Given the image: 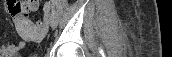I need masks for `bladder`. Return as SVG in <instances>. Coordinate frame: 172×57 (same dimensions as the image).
Segmentation results:
<instances>
[{
	"label": "bladder",
	"mask_w": 172,
	"mask_h": 57,
	"mask_svg": "<svg viewBox=\"0 0 172 57\" xmlns=\"http://www.w3.org/2000/svg\"><path fill=\"white\" fill-rule=\"evenodd\" d=\"M13 57H19V56H17V55H14Z\"/></svg>",
	"instance_id": "bladder-1"
}]
</instances>
